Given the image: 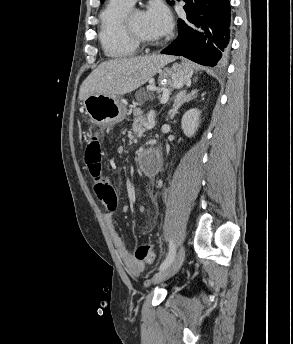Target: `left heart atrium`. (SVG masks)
<instances>
[{
  "instance_id": "1",
  "label": "left heart atrium",
  "mask_w": 293,
  "mask_h": 344,
  "mask_svg": "<svg viewBox=\"0 0 293 344\" xmlns=\"http://www.w3.org/2000/svg\"><path fill=\"white\" fill-rule=\"evenodd\" d=\"M144 19L148 31L158 38L167 35L173 26L170 11L165 5L159 2L149 6L144 13Z\"/></svg>"
}]
</instances>
